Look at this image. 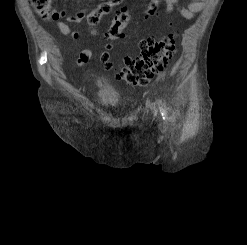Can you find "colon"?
I'll return each mask as SVG.
<instances>
[{"label": "colon", "mask_w": 247, "mask_h": 245, "mask_svg": "<svg viewBox=\"0 0 247 245\" xmlns=\"http://www.w3.org/2000/svg\"><path fill=\"white\" fill-rule=\"evenodd\" d=\"M122 0H108L100 3L87 14V23L95 27L100 19L109 14ZM35 11L47 19L51 14L52 0H30ZM106 36L109 40L117 38L116 30H108ZM176 33H170L159 38H146L140 41V54L135 57H125L124 66L114 67L108 53H103L101 60L107 69H114L116 76L129 85L144 86L153 76L166 67L169 60L176 53Z\"/></svg>", "instance_id": "1"}]
</instances>
